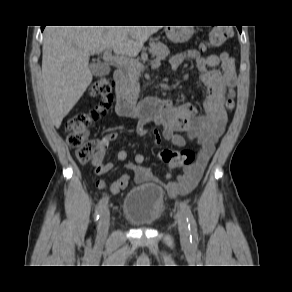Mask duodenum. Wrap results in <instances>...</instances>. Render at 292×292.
Instances as JSON below:
<instances>
[{"label": "duodenum", "instance_id": "obj_1", "mask_svg": "<svg viewBox=\"0 0 292 292\" xmlns=\"http://www.w3.org/2000/svg\"><path fill=\"white\" fill-rule=\"evenodd\" d=\"M124 78L125 75L121 69L115 70L113 75L116 95L115 108L119 116H135L141 121H146L163 112L166 105V99L164 98L145 99L141 101L130 99L124 91Z\"/></svg>", "mask_w": 292, "mask_h": 292}]
</instances>
